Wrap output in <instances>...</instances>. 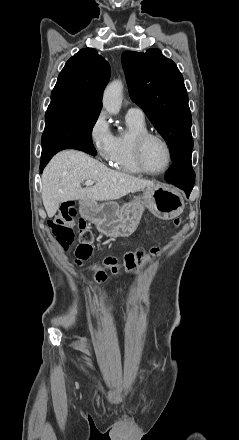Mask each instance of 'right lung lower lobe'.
<instances>
[{
  "label": "right lung lower lobe",
  "instance_id": "obj_1",
  "mask_svg": "<svg viewBox=\"0 0 239 440\" xmlns=\"http://www.w3.org/2000/svg\"><path fill=\"white\" fill-rule=\"evenodd\" d=\"M77 149L84 151L90 155L96 156L97 151L94 148L93 144H89L86 141L83 140H71L68 142H65L47 152H42L41 157V163H40V171L42 172L43 168L46 166V164L49 162V160L55 155L58 151H61L63 149Z\"/></svg>",
  "mask_w": 239,
  "mask_h": 440
}]
</instances>
